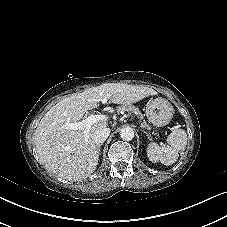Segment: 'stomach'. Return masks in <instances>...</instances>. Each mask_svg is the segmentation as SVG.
Returning <instances> with one entry per match:
<instances>
[{
    "label": "stomach",
    "instance_id": "stomach-1",
    "mask_svg": "<svg viewBox=\"0 0 227 227\" xmlns=\"http://www.w3.org/2000/svg\"><path fill=\"white\" fill-rule=\"evenodd\" d=\"M174 108L171 103L161 97L150 102L146 108V116L154 126L162 127L167 125L172 119Z\"/></svg>",
    "mask_w": 227,
    "mask_h": 227
}]
</instances>
